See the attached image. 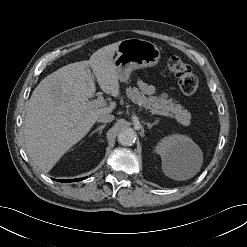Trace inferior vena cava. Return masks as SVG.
<instances>
[{"mask_svg": "<svg viewBox=\"0 0 247 247\" xmlns=\"http://www.w3.org/2000/svg\"><path fill=\"white\" fill-rule=\"evenodd\" d=\"M114 120V116L112 114H100L97 117V121L101 123H108Z\"/></svg>", "mask_w": 247, "mask_h": 247, "instance_id": "602c4592", "label": "inferior vena cava"}]
</instances>
